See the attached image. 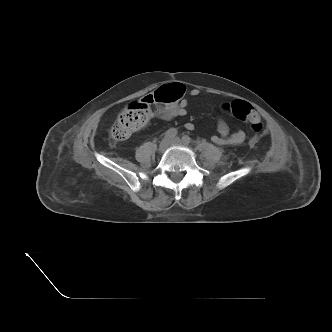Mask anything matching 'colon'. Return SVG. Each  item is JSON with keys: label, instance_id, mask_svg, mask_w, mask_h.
<instances>
[{"label": "colon", "instance_id": "1", "mask_svg": "<svg viewBox=\"0 0 332 332\" xmlns=\"http://www.w3.org/2000/svg\"><path fill=\"white\" fill-rule=\"evenodd\" d=\"M185 94V86L181 83L162 85L152 94H149L137 102L127 105L118 115L116 122L110 131V137L114 141H123L133 133L144 127L150 117L157 110L179 103ZM159 106L154 110L153 106ZM223 110L235 118L250 124L254 136L250 144L254 145L266 134L263 123L256 110L246 101L234 100L225 103Z\"/></svg>", "mask_w": 332, "mask_h": 332}]
</instances>
